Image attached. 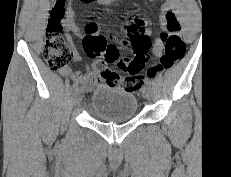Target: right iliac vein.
<instances>
[{"mask_svg":"<svg viewBox=\"0 0 231 177\" xmlns=\"http://www.w3.org/2000/svg\"><path fill=\"white\" fill-rule=\"evenodd\" d=\"M82 93H83V89L78 88V87L74 89V92H73V103L75 105L80 103V101L82 99Z\"/></svg>","mask_w":231,"mask_h":177,"instance_id":"obj_1","label":"right iliac vein"}]
</instances>
